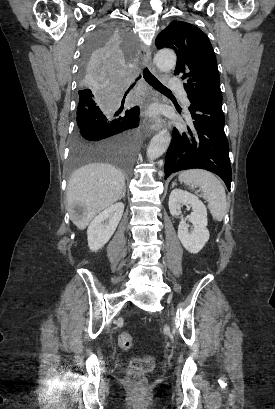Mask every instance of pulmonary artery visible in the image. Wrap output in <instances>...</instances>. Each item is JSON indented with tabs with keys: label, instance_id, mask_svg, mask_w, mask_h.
Masks as SVG:
<instances>
[{
	"label": "pulmonary artery",
	"instance_id": "e3ab8cb5",
	"mask_svg": "<svg viewBox=\"0 0 275 409\" xmlns=\"http://www.w3.org/2000/svg\"><path fill=\"white\" fill-rule=\"evenodd\" d=\"M174 78L175 79H168V81H167L168 88H179V86H180V81L178 79L179 75L175 74ZM182 101H183V104L185 105V107L188 108L189 105H190V102H189V99H188V96H187L186 93L182 94Z\"/></svg>",
	"mask_w": 275,
	"mask_h": 409
}]
</instances>
